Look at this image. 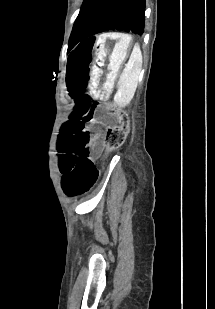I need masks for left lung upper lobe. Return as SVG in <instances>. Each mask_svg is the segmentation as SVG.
<instances>
[{"label":"left lung upper lobe","instance_id":"1","mask_svg":"<svg viewBox=\"0 0 215 309\" xmlns=\"http://www.w3.org/2000/svg\"><path fill=\"white\" fill-rule=\"evenodd\" d=\"M145 0H84L69 39V47L94 34L125 29L143 34Z\"/></svg>","mask_w":215,"mask_h":309}]
</instances>
